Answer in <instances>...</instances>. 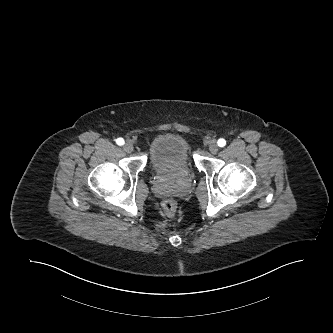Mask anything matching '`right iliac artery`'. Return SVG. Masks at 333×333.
Wrapping results in <instances>:
<instances>
[{"mask_svg": "<svg viewBox=\"0 0 333 333\" xmlns=\"http://www.w3.org/2000/svg\"><path fill=\"white\" fill-rule=\"evenodd\" d=\"M116 143H117L119 146H121V145L124 144V139H123V138H118V139L116 140Z\"/></svg>", "mask_w": 333, "mask_h": 333, "instance_id": "obj_1", "label": "right iliac artery"}]
</instances>
